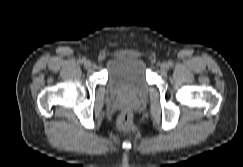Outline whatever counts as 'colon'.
Here are the masks:
<instances>
[{
    "label": "colon",
    "instance_id": "1",
    "mask_svg": "<svg viewBox=\"0 0 243 167\" xmlns=\"http://www.w3.org/2000/svg\"><path fill=\"white\" fill-rule=\"evenodd\" d=\"M117 126L122 131H130L134 128L132 111L130 109H123L117 121Z\"/></svg>",
    "mask_w": 243,
    "mask_h": 167
}]
</instances>
